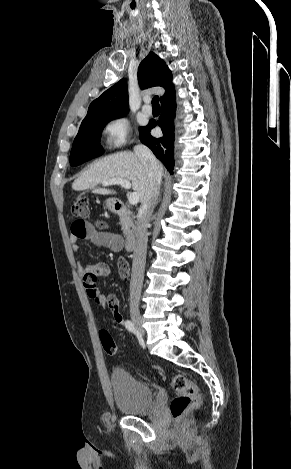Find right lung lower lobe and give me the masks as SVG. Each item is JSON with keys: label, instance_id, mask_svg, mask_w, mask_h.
<instances>
[{"label": "right lung lower lobe", "instance_id": "98d812e1", "mask_svg": "<svg viewBox=\"0 0 291 469\" xmlns=\"http://www.w3.org/2000/svg\"><path fill=\"white\" fill-rule=\"evenodd\" d=\"M162 113L158 121H150L146 127L140 128V140L148 146L154 155L160 159L171 173L174 167V124L176 103L174 93L161 101ZM156 125L161 127L163 136L155 138L150 130Z\"/></svg>", "mask_w": 291, "mask_h": 469}]
</instances>
